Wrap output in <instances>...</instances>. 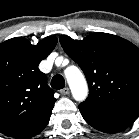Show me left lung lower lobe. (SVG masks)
<instances>
[{
	"label": "left lung lower lobe",
	"instance_id": "obj_1",
	"mask_svg": "<svg viewBox=\"0 0 139 139\" xmlns=\"http://www.w3.org/2000/svg\"><path fill=\"white\" fill-rule=\"evenodd\" d=\"M79 110L88 124L107 133L124 130L139 116V105L114 110H100L79 105Z\"/></svg>",
	"mask_w": 139,
	"mask_h": 139
}]
</instances>
